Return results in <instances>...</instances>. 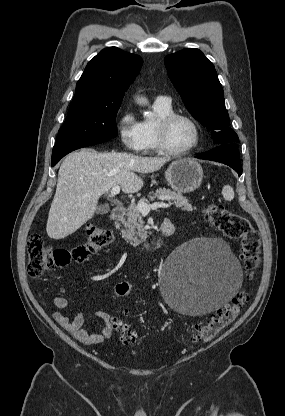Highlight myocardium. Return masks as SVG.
<instances>
[{
	"label": "myocardium",
	"mask_w": 285,
	"mask_h": 416,
	"mask_svg": "<svg viewBox=\"0 0 285 416\" xmlns=\"http://www.w3.org/2000/svg\"><path fill=\"white\" fill-rule=\"evenodd\" d=\"M176 119H185L192 125L194 129V143L186 150L176 151L169 146L167 141V133L169 127ZM156 141L158 149L168 156L182 157L190 155L199 147L201 143V131L199 124L193 117L188 114L172 112L158 119L156 123Z\"/></svg>",
	"instance_id": "obj_1"
}]
</instances>
